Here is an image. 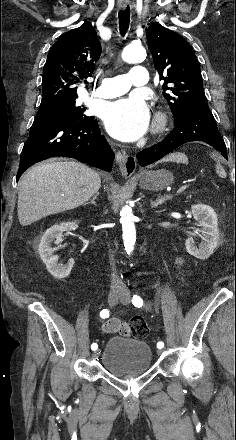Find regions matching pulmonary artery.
Segmentation results:
<instances>
[{
	"label": "pulmonary artery",
	"instance_id": "e3ab8cb5",
	"mask_svg": "<svg viewBox=\"0 0 236 440\" xmlns=\"http://www.w3.org/2000/svg\"><path fill=\"white\" fill-rule=\"evenodd\" d=\"M148 72L144 66H133L126 74L104 78L94 92L95 97L113 98L128 92L132 87H143L148 83Z\"/></svg>",
	"mask_w": 236,
	"mask_h": 440
}]
</instances>
